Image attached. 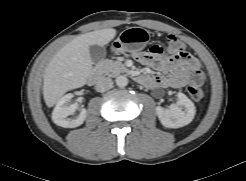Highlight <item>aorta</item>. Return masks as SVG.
Returning a JSON list of instances; mask_svg holds the SVG:
<instances>
[{"label":"aorta","mask_w":246,"mask_h":181,"mask_svg":"<svg viewBox=\"0 0 246 181\" xmlns=\"http://www.w3.org/2000/svg\"><path fill=\"white\" fill-rule=\"evenodd\" d=\"M115 81H116V85L121 88L127 86L128 84V79L124 75L118 76Z\"/></svg>","instance_id":"762f6f07"}]
</instances>
